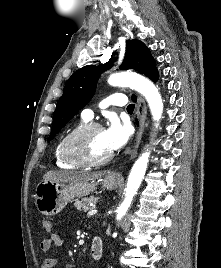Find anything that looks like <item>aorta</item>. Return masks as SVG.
<instances>
[{"instance_id":"aorta-1","label":"aorta","mask_w":221,"mask_h":268,"mask_svg":"<svg viewBox=\"0 0 221 268\" xmlns=\"http://www.w3.org/2000/svg\"><path fill=\"white\" fill-rule=\"evenodd\" d=\"M108 83L111 86L130 87L141 93L146 98L153 120L157 122L156 127H158V122L163 113V102L158 89L150 80L136 73L122 72L112 74L108 78ZM149 155V151L142 153L131 169L125 188L124 200L117 210L116 218L119 221L126 214L133 197L137 194L147 169Z\"/></svg>"}]
</instances>
